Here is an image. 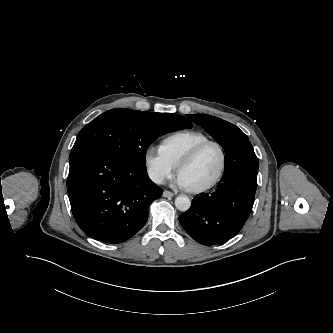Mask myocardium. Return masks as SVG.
Masks as SVG:
<instances>
[{
    "mask_svg": "<svg viewBox=\"0 0 333 333\" xmlns=\"http://www.w3.org/2000/svg\"><path fill=\"white\" fill-rule=\"evenodd\" d=\"M209 146H213L215 148H217L219 155H220V163H219V167L218 170L216 172V174L214 175V177L207 182L206 184L200 186V187H196V188H186V190L190 193L193 194H199V193H203L206 192L208 190H210L212 187H214L217 182L220 180V178L222 177V174L224 172L225 169V163H226V154L225 151L223 149V147L216 141H212V140H208L205 142H202L200 144H198L197 146H195L178 164L177 166V173L178 175L180 174V172L189 164H191L197 157L198 155L207 147Z\"/></svg>",
    "mask_w": 333,
    "mask_h": 333,
    "instance_id": "obj_1",
    "label": "myocardium"
}]
</instances>
